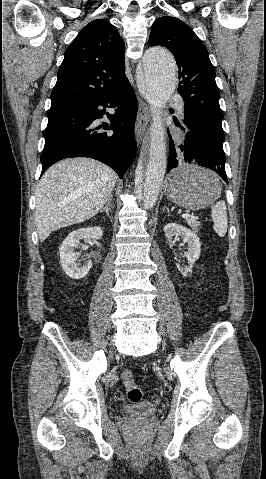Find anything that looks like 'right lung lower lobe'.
<instances>
[{
    "label": "right lung lower lobe",
    "mask_w": 266,
    "mask_h": 479,
    "mask_svg": "<svg viewBox=\"0 0 266 479\" xmlns=\"http://www.w3.org/2000/svg\"><path fill=\"white\" fill-rule=\"evenodd\" d=\"M105 107L113 108L114 114L106 112ZM137 109L136 95L129 82L109 93L52 103L43 134L41 175L62 159L88 157L109 165L122 178L137 151L134 137ZM103 116L111 124L96 127L94 121Z\"/></svg>",
    "instance_id": "obj_1"
}]
</instances>
